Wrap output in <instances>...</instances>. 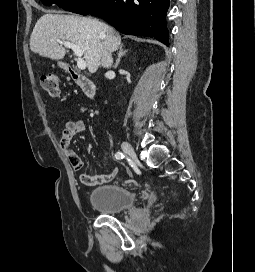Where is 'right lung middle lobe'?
<instances>
[{
    "label": "right lung middle lobe",
    "instance_id": "obj_1",
    "mask_svg": "<svg viewBox=\"0 0 255 272\" xmlns=\"http://www.w3.org/2000/svg\"><path fill=\"white\" fill-rule=\"evenodd\" d=\"M46 6L57 4L64 10L81 15L89 14L101 0H41Z\"/></svg>",
    "mask_w": 255,
    "mask_h": 272
}]
</instances>
